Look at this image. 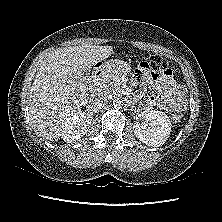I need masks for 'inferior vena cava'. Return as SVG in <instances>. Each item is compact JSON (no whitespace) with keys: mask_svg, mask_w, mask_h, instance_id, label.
Here are the masks:
<instances>
[{"mask_svg":"<svg viewBox=\"0 0 222 222\" xmlns=\"http://www.w3.org/2000/svg\"><path fill=\"white\" fill-rule=\"evenodd\" d=\"M108 98L105 94L95 93L90 98V105L93 109H100L107 105Z\"/></svg>","mask_w":222,"mask_h":222,"instance_id":"602c4592","label":"inferior vena cava"}]
</instances>
